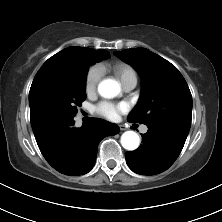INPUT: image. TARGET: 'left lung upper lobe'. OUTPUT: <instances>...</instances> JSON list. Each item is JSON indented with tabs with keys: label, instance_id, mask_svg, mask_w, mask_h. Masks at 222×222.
Instances as JSON below:
<instances>
[{
	"label": "left lung upper lobe",
	"instance_id": "5c2ea615",
	"mask_svg": "<svg viewBox=\"0 0 222 222\" xmlns=\"http://www.w3.org/2000/svg\"><path fill=\"white\" fill-rule=\"evenodd\" d=\"M115 55L141 75V96L127 120L152 124L174 120L190 128L192 96L181 73L170 62L145 48L126 49Z\"/></svg>",
	"mask_w": 222,
	"mask_h": 222
}]
</instances>
